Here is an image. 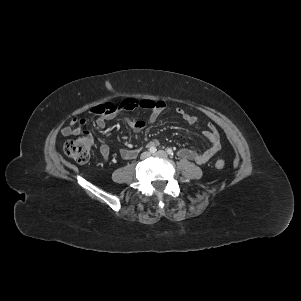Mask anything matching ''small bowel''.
I'll list each match as a JSON object with an SVG mask.
<instances>
[{
    "label": "small bowel",
    "mask_w": 301,
    "mask_h": 301,
    "mask_svg": "<svg viewBox=\"0 0 301 301\" xmlns=\"http://www.w3.org/2000/svg\"><path fill=\"white\" fill-rule=\"evenodd\" d=\"M113 110L105 109L106 105H99L91 109V114L96 115L95 124L98 128L103 129L106 126L107 121L115 119L122 111H132L134 109H146L150 112L148 119L146 120H127V124L136 132L141 133L145 127L154 123L160 114L164 111L166 105L163 101L143 100L136 101L133 99H125L113 106ZM176 112L186 122L193 125L196 122L195 116L187 113L182 108H177ZM86 123L85 119L74 118L70 121L69 125L61 130L63 136L77 135L81 131V127ZM203 136L209 141L210 147L205 151L198 152L189 148H181L178 151L180 157L194 161L198 164H204L210 160L221 149L220 136L218 131L213 125H209V128L202 132ZM156 140H151L147 143V146H157ZM100 153L104 160H108L110 156V147L107 143H102L100 146ZM138 154V148H126L121 150V156L124 159L135 158Z\"/></svg>",
    "instance_id": "c3829d8e"
}]
</instances>
